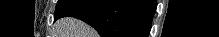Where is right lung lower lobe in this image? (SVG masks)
Here are the masks:
<instances>
[{
    "mask_svg": "<svg viewBox=\"0 0 219 37\" xmlns=\"http://www.w3.org/2000/svg\"><path fill=\"white\" fill-rule=\"evenodd\" d=\"M156 6V0H73L55 19H81L101 37H147Z\"/></svg>",
    "mask_w": 219,
    "mask_h": 37,
    "instance_id": "right-lung-lower-lobe-1",
    "label": "right lung lower lobe"
}]
</instances>
